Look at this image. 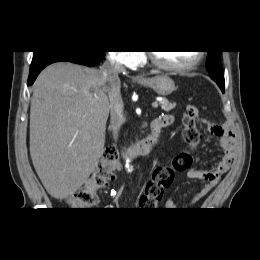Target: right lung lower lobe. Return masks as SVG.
<instances>
[{
	"label": "right lung lower lobe",
	"mask_w": 260,
	"mask_h": 260,
	"mask_svg": "<svg viewBox=\"0 0 260 260\" xmlns=\"http://www.w3.org/2000/svg\"><path fill=\"white\" fill-rule=\"evenodd\" d=\"M104 57L105 51L39 52L33 55L27 85L29 86L33 84L41 70L51 63L69 61L86 66H94L98 64Z\"/></svg>",
	"instance_id": "98d812e1"
}]
</instances>
